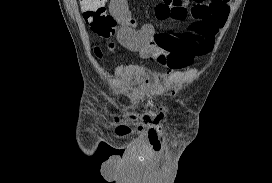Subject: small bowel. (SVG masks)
Instances as JSON below:
<instances>
[{"instance_id": "small-bowel-1", "label": "small bowel", "mask_w": 272, "mask_h": 183, "mask_svg": "<svg viewBox=\"0 0 272 183\" xmlns=\"http://www.w3.org/2000/svg\"><path fill=\"white\" fill-rule=\"evenodd\" d=\"M231 0H161L156 6L158 19L172 27L156 33L149 23L139 24L126 9L114 13L121 19L117 40L124 48L143 58L164 57L173 69L189 66L193 59L212 50L215 36L224 26ZM144 113L134 111L116 116L117 122L127 120L141 124Z\"/></svg>"}]
</instances>
